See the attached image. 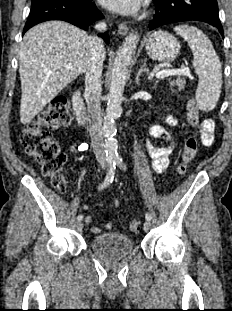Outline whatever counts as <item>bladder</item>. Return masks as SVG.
Here are the masks:
<instances>
[{
	"instance_id": "1",
	"label": "bladder",
	"mask_w": 232,
	"mask_h": 311,
	"mask_svg": "<svg viewBox=\"0 0 232 311\" xmlns=\"http://www.w3.org/2000/svg\"><path fill=\"white\" fill-rule=\"evenodd\" d=\"M90 247L107 261H116L128 256L133 250L129 236L118 232H106L95 236Z\"/></svg>"
}]
</instances>
